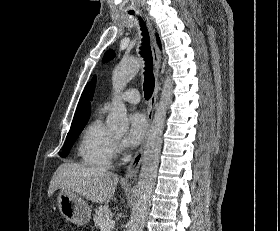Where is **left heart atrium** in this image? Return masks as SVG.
<instances>
[{"label": "left heart atrium", "mask_w": 280, "mask_h": 231, "mask_svg": "<svg viewBox=\"0 0 280 231\" xmlns=\"http://www.w3.org/2000/svg\"><path fill=\"white\" fill-rule=\"evenodd\" d=\"M146 130L147 124L143 115L132 114L128 121V131L122 140L123 146L127 148L136 147L142 141Z\"/></svg>", "instance_id": "39dd6f15"}]
</instances>
